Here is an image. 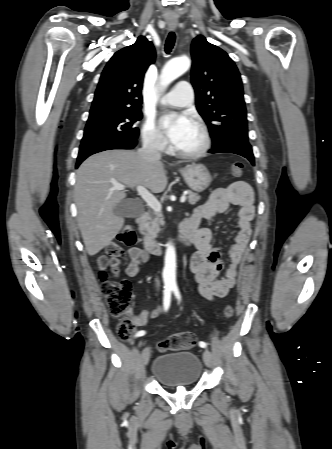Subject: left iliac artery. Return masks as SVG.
<instances>
[{
	"label": "left iliac artery",
	"instance_id": "44dca946",
	"mask_svg": "<svg viewBox=\"0 0 332 449\" xmlns=\"http://www.w3.org/2000/svg\"><path fill=\"white\" fill-rule=\"evenodd\" d=\"M172 291L174 292L175 297L178 300H181L180 291H179V289H178V287L176 285L172 286ZM199 346L202 347V348H206L207 344L205 342H203V341H200L199 342Z\"/></svg>",
	"mask_w": 332,
	"mask_h": 449
}]
</instances>
